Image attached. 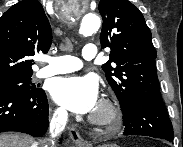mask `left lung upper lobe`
<instances>
[{"instance_id": "obj_1", "label": "left lung upper lobe", "mask_w": 183, "mask_h": 147, "mask_svg": "<svg viewBox=\"0 0 183 147\" xmlns=\"http://www.w3.org/2000/svg\"><path fill=\"white\" fill-rule=\"evenodd\" d=\"M102 48L110 59L102 65L121 108L136 99L162 100L155 67L156 50L142 13L128 0H101Z\"/></svg>"}]
</instances>
